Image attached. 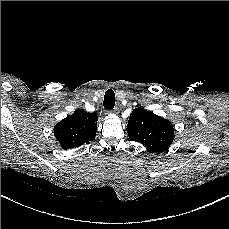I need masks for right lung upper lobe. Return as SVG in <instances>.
<instances>
[{
    "label": "right lung upper lobe",
    "instance_id": "right-lung-upper-lobe-1",
    "mask_svg": "<svg viewBox=\"0 0 229 229\" xmlns=\"http://www.w3.org/2000/svg\"><path fill=\"white\" fill-rule=\"evenodd\" d=\"M97 119L96 113L76 110L74 114L55 125L54 135L63 149L81 146L95 139Z\"/></svg>",
    "mask_w": 229,
    "mask_h": 229
}]
</instances>
